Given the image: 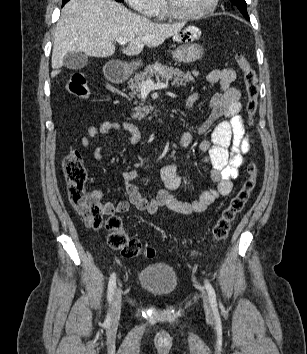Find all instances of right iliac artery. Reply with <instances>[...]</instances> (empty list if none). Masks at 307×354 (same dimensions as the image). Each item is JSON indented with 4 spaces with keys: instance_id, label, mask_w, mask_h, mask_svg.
<instances>
[{
    "instance_id": "obj_1",
    "label": "right iliac artery",
    "mask_w": 307,
    "mask_h": 354,
    "mask_svg": "<svg viewBox=\"0 0 307 354\" xmlns=\"http://www.w3.org/2000/svg\"><path fill=\"white\" fill-rule=\"evenodd\" d=\"M115 288H116V274L113 273V274H111V276L109 278V284H108L107 298H108L109 303H111V301H112ZM106 321L107 322L110 321V313H108Z\"/></svg>"
}]
</instances>
